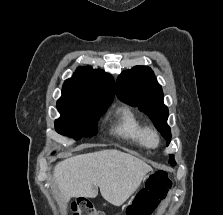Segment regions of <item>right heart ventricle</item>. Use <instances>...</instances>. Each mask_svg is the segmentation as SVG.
<instances>
[{
    "mask_svg": "<svg viewBox=\"0 0 223 215\" xmlns=\"http://www.w3.org/2000/svg\"><path fill=\"white\" fill-rule=\"evenodd\" d=\"M115 135L132 146L142 148L145 146L144 137L146 127L129 108L119 112V118L113 129Z\"/></svg>",
    "mask_w": 223,
    "mask_h": 215,
    "instance_id": "right-heart-ventricle-1",
    "label": "right heart ventricle"
}]
</instances>
